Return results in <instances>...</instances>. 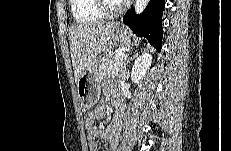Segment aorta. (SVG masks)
Instances as JSON below:
<instances>
[{"instance_id":"1","label":"aorta","mask_w":231,"mask_h":151,"mask_svg":"<svg viewBox=\"0 0 231 151\" xmlns=\"http://www.w3.org/2000/svg\"><path fill=\"white\" fill-rule=\"evenodd\" d=\"M149 0H135V12L140 14L146 8Z\"/></svg>"}]
</instances>
